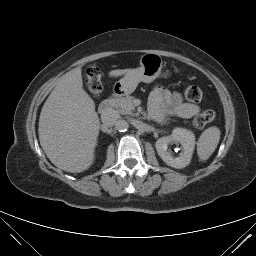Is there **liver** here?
<instances>
[{"instance_id":"6515ba94","label":"liver","mask_w":256,"mask_h":256,"mask_svg":"<svg viewBox=\"0 0 256 256\" xmlns=\"http://www.w3.org/2000/svg\"><path fill=\"white\" fill-rule=\"evenodd\" d=\"M132 70H112L109 76ZM99 128L95 103L83 89L81 68H74L62 76L43 105L38 127L40 145L56 167L80 173L94 162Z\"/></svg>"}]
</instances>
